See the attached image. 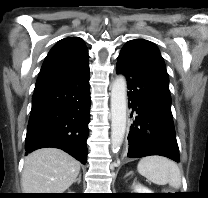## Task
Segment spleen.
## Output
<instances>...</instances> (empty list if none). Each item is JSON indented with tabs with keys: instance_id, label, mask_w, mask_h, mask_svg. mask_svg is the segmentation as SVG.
<instances>
[{
	"instance_id": "1",
	"label": "spleen",
	"mask_w": 208,
	"mask_h": 198,
	"mask_svg": "<svg viewBox=\"0 0 208 198\" xmlns=\"http://www.w3.org/2000/svg\"><path fill=\"white\" fill-rule=\"evenodd\" d=\"M137 170L157 185L169 184L176 189L181 186V172L178 165L166 157H144L139 161Z\"/></svg>"
}]
</instances>
